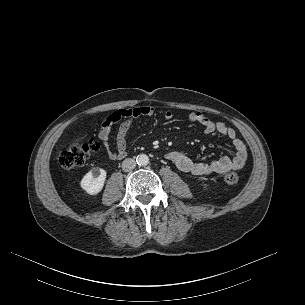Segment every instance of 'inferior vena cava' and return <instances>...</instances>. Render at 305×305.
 <instances>
[{
    "label": "inferior vena cava",
    "instance_id": "obj_1",
    "mask_svg": "<svg viewBox=\"0 0 305 305\" xmlns=\"http://www.w3.org/2000/svg\"><path fill=\"white\" fill-rule=\"evenodd\" d=\"M136 167V162L134 159L132 158H126L123 162H122V169L125 172L131 171Z\"/></svg>",
    "mask_w": 305,
    "mask_h": 305
}]
</instances>
